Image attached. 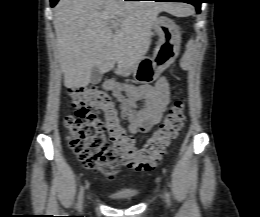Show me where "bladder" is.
<instances>
[{"mask_svg":"<svg viewBox=\"0 0 260 217\" xmlns=\"http://www.w3.org/2000/svg\"><path fill=\"white\" fill-rule=\"evenodd\" d=\"M136 198L135 194H122V195H114L111 197L113 201L120 203H128L133 201Z\"/></svg>","mask_w":260,"mask_h":217,"instance_id":"bladder-1","label":"bladder"}]
</instances>
